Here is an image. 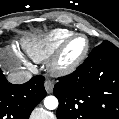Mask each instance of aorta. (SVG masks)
<instances>
[{"instance_id": "762f6f07", "label": "aorta", "mask_w": 119, "mask_h": 119, "mask_svg": "<svg viewBox=\"0 0 119 119\" xmlns=\"http://www.w3.org/2000/svg\"><path fill=\"white\" fill-rule=\"evenodd\" d=\"M44 105L49 110H54L58 107V100L55 96H47L44 99Z\"/></svg>"}]
</instances>
